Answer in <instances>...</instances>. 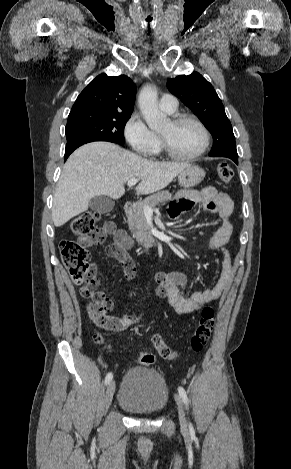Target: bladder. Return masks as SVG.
<instances>
[{
  "instance_id": "obj_1",
  "label": "bladder",
  "mask_w": 291,
  "mask_h": 469,
  "mask_svg": "<svg viewBox=\"0 0 291 469\" xmlns=\"http://www.w3.org/2000/svg\"><path fill=\"white\" fill-rule=\"evenodd\" d=\"M169 399L162 376L151 369L132 367L124 375L118 395L119 406L136 415H156Z\"/></svg>"
}]
</instances>
